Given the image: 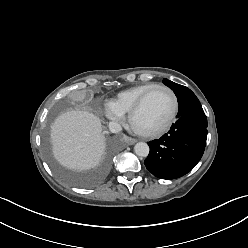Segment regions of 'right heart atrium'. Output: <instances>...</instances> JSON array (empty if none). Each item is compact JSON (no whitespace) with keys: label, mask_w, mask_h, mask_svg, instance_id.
<instances>
[{"label":"right heart atrium","mask_w":248,"mask_h":248,"mask_svg":"<svg viewBox=\"0 0 248 248\" xmlns=\"http://www.w3.org/2000/svg\"><path fill=\"white\" fill-rule=\"evenodd\" d=\"M106 115L115 122H121L123 120V115L118 113L111 104L106 106Z\"/></svg>","instance_id":"d8ad5b80"}]
</instances>
